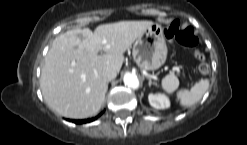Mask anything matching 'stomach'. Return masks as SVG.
<instances>
[{
	"label": "stomach",
	"mask_w": 247,
	"mask_h": 145,
	"mask_svg": "<svg viewBox=\"0 0 247 145\" xmlns=\"http://www.w3.org/2000/svg\"><path fill=\"white\" fill-rule=\"evenodd\" d=\"M132 55L140 69L156 70L167 58L163 28L155 24L146 29L134 42Z\"/></svg>",
	"instance_id": "obj_1"
}]
</instances>
